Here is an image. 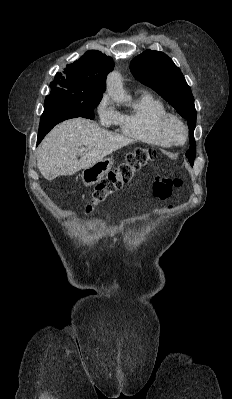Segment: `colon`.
I'll return each instance as SVG.
<instances>
[{"label": "colon", "instance_id": "5ec220e1", "mask_svg": "<svg viewBox=\"0 0 232 399\" xmlns=\"http://www.w3.org/2000/svg\"><path fill=\"white\" fill-rule=\"evenodd\" d=\"M148 154L144 150H139L131 154L126 163H115V168H118L114 174H107L108 180H95L96 184L99 186H94V190L92 192V197L90 199L91 203L87 204V213H94L96 204L99 201L103 200L106 196H108L113 191H118L121 185H130V180L132 179V174H134L137 168H140V165H147ZM158 185H184V180H164V175L156 176ZM173 186H155L154 189H151V194H168L169 191H173ZM156 203H163V198H156Z\"/></svg>", "mask_w": 232, "mask_h": 399}]
</instances>
